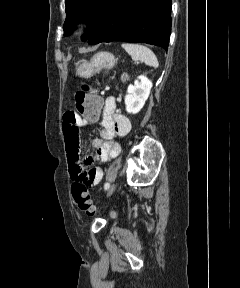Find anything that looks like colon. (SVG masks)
<instances>
[{
	"mask_svg": "<svg viewBox=\"0 0 240 288\" xmlns=\"http://www.w3.org/2000/svg\"><path fill=\"white\" fill-rule=\"evenodd\" d=\"M75 106L82 118L92 123L99 119L102 99L90 84L84 83L75 95ZM72 196L81 211L88 215L95 214L96 209L85 185L74 183L72 185Z\"/></svg>",
	"mask_w": 240,
	"mask_h": 288,
	"instance_id": "1",
	"label": "colon"
}]
</instances>
